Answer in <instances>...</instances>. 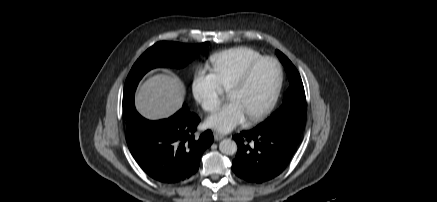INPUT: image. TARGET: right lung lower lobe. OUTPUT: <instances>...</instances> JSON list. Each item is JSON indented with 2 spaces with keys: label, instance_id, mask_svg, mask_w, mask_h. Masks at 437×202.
<instances>
[{
  "label": "right lung lower lobe",
  "instance_id": "right-lung-lower-lobe-1",
  "mask_svg": "<svg viewBox=\"0 0 437 202\" xmlns=\"http://www.w3.org/2000/svg\"><path fill=\"white\" fill-rule=\"evenodd\" d=\"M199 117L184 105L173 116L151 121L135 111L126 121L129 150L151 178L161 183H178L192 177L205 149L213 143L210 130L195 136Z\"/></svg>",
  "mask_w": 437,
  "mask_h": 202
}]
</instances>
